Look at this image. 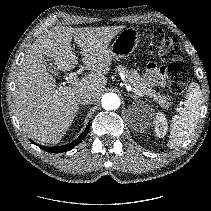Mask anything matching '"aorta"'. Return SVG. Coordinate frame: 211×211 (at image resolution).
<instances>
[{
	"instance_id": "aorta-1",
	"label": "aorta",
	"mask_w": 211,
	"mask_h": 211,
	"mask_svg": "<svg viewBox=\"0 0 211 211\" xmlns=\"http://www.w3.org/2000/svg\"><path fill=\"white\" fill-rule=\"evenodd\" d=\"M101 104L105 110H116L120 106V99L115 93H107L103 96Z\"/></svg>"
}]
</instances>
